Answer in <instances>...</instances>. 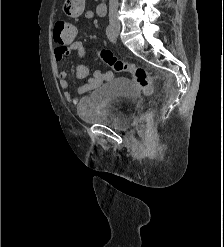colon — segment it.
I'll return each instance as SVG.
<instances>
[{
	"label": "colon",
	"mask_w": 224,
	"mask_h": 247,
	"mask_svg": "<svg viewBox=\"0 0 224 247\" xmlns=\"http://www.w3.org/2000/svg\"><path fill=\"white\" fill-rule=\"evenodd\" d=\"M53 35L54 39L60 42L72 41L75 40L77 36V28L70 22L58 20L54 25ZM98 55L104 63L112 67L116 72L129 73L144 94L150 95L152 93V80L143 67L118 59L107 49L100 50ZM78 74L80 76H85L87 71L85 68H79ZM148 121V116L141 119L137 125V129L140 132L145 131L148 126Z\"/></svg>",
	"instance_id": "obj_1"
}]
</instances>
